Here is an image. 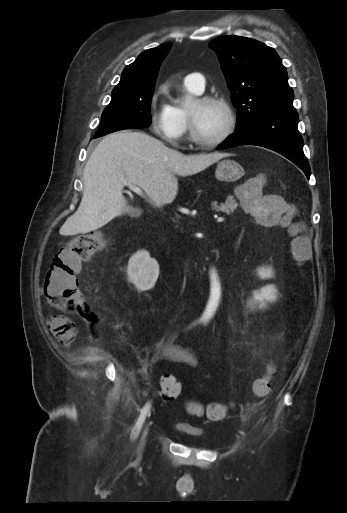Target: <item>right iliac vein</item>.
<instances>
[{"label": "right iliac vein", "mask_w": 347, "mask_h": 513, "mask_svg": "<svg viewBox=\"0 0 347 513\" xmlns=\"http://www.w3.org/2000/svg\"><path fill=\"white\" fill-rule=\"evenodd\" d=\"M145 437V436H144ZM144 437H143V441H142V444L144 443Z\"/></svg>", "instance_id": "63e3f726"}]
</instances>
